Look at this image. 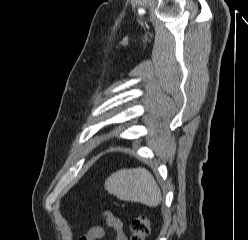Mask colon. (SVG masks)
<instances>
[{
  "label": "colon",
  "mask_w": 248,
  "mask_h": 240,
  "mask_svg": "<svg viewBox=\"0 0 248 240\" xmlns=\"http://www.w3.org/2000/svg\"><path fill=\"white\" fill-rule=\"evenodd\" d=\"M150 227L149 218L144 214L139 215L130 224V240H145L150 233Z\"/></svg>",
  "instance_id": "5ec220e1"
}]
</instances>
